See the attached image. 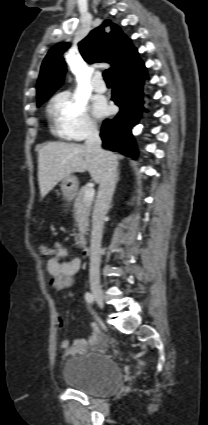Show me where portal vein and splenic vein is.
<instances>
[{
  "label": "portal vein and splenic vein",
  "instance_id": "portal-vein-and-splenic-vein-1",
  "mask_svg": "<svg viewBox=\"0 0 208 425\" xmlns=\"http://www.w3.org/2000/svg\"><path fill=\"white\" fill-rule=\"evenodd\" d=\"M95 190L92 187H89L85 192V200H91L94 197Z\"/></svg>",
  "mask_w": 208,
  "mask_h": 425
}]
</instances>
